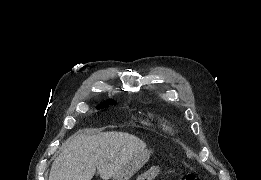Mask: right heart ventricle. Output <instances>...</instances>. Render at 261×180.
<instances>
[{"label": "right heart ventricle", "mask_w": 261, "mask_h": 180, "mask_svg": "<svg viewBox=\"0 0 261 180\" xmlns=\"http://www.w3.org/2000/svg\"><path fill=\"white\" fill-rule=\"evenodd\" d=\"M147 125L152 128V130L158 133H167V135L174 134V128L165 121H159L157 123H147Z\"/></svg>", "instance_id": "right-heart-ventricle-1"}]
</instances>
